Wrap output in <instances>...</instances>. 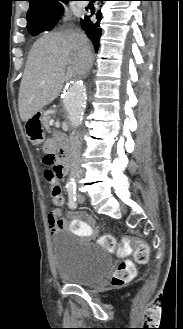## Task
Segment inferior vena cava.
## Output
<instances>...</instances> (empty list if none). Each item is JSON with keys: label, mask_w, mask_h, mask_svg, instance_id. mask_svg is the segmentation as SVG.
<instances>
[{"label": "inferior vena cava", "mask_w": 183, "mask_h": 329, "mask_svg": "<svg viewBox=\"0 0 183 329\" xmlns=\"http://www.w3.org/2000/svg\"><path fill=\"white\" fill-rule=\"evenodd\" d=\"M79 59L81 62V68L83 70V75H85L91 65H92V53L90 49L84 48L79 53ZM80 149H81V142L79 137L72 132L70 134V156H71V175L73 178H77L79 174L80 168Z\"/></svg>", "instance_id": "1"}]
</instances>
